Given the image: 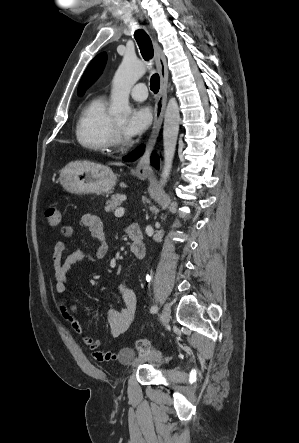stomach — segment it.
Listing matches in <instances>:
<instances>
[{"label":"stomach","instance_id":"0dacf381","mask_svg":"<svg viewBox=\"0 0 299 443\" xmlns=\"http://www.w3.org/2000/svg\"><path fill=\"white\" fill-rule=\"evenodd\" d=\"M139 179H146V173H137ZM116 175L107 167L87 162H73L60 171L59 182L73 194L107 193L115 186Z\"/></svg>","mask_w":299,"mask_h":443}]
</instances>
